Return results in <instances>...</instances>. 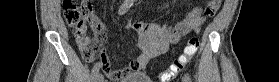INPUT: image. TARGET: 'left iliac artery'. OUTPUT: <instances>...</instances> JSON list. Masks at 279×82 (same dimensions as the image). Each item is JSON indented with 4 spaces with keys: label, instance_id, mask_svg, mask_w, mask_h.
<instances>
[{
    "label": "left iliac artery",
    "instance_id": "obj_1",
    "mask_svg": "<svg viewBox=\"0 0 279 82\" xmlns=\"http://www.w3.org/2000/svg\"><path fill=\"white\" fill-rule=\"evenodd\" d=\"M183 81L184 82H192L188 74H185V76L183 77Z\"/></svg>",
    "mask_w": 279,
    "mask_h": 82
}]
</instances>
